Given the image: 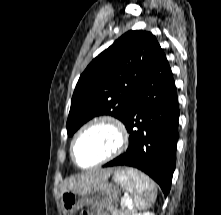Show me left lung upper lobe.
I'll list each match as a JSON object with an SVG mask.
<instances>
[{"mask_svg": "<svg viewBox=\"0 0 221 215\" xmlns=\"http://www.w3.org/2000/svg\"><path fill=\"white\" fill-rule=\"evenodd\" d=\"M156 37L146 31H128L100 53L81 74L71 100L67 133L98 115L123 122L127 104L161 52Z\"/></svg>", "mask_w": 221, "mask_h": 215, "instance_id": "obj_1", "label": "left lung upper lobe"}]
</instances>
